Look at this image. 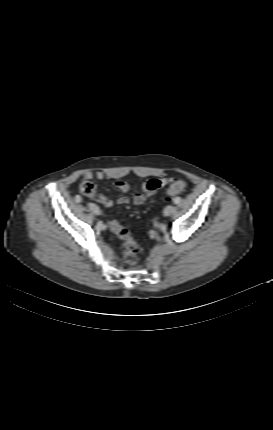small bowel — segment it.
<instances>
[{
  "label": "small bowel",
  "mask_w": 273,
  "mask_h": 430,
  "mask_svg": "<svg viewBox=\"0 0 273 430\" xmlns=\"http://www.w3.org/2000/svg\"><path fill=\"white\" fill-rule=\"evenodd\" d=\"M85 179H91L93 177L97 179H103L105 177V173L102 171H87L84 174ZM171 179L169 178H153L144 182L141 186V190L134 194L132 199L128 196H121L117 199V203L119 205H126L132 202L135 205L144 204L150 197H152L160 188L167 185ZM116 187L122 192H128L131 188V185L127 181H118L116 183ZM98 200L105 207H111L113 205V200L109 198L105 194H100Z\"/></svg>",
  "instance_id": "small-bowel-1"
}]
</instances>
